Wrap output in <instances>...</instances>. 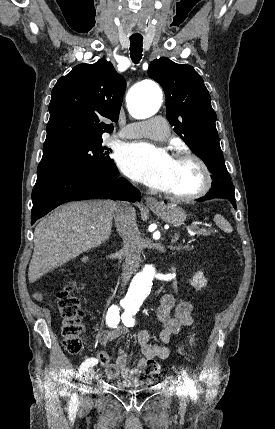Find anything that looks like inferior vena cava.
Listing matches in <instances>:
<instances>
[{
    "mask_svg": "<svg viewBox=\"0 0 275 429\" xmlns=\"http://www.w3.org/2000/svg\"><path fill=\"white\" fill-rule=\"evenodd\" d=\"M114 220L124 244V271L130 273L137 265L142 250L141 236L136 224L134 207L126 203H121L116 210Z\"/></svg>",
    "mask_w": 275,
    "mask_h": 429,
    "instance_id": "602c4592",
    "label": "inferior vena cava"
}]
</instances>
